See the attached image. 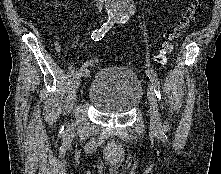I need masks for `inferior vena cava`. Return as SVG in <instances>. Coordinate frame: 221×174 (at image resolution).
<instances>
[{
    "mask_svg": "<svg viewBox=\"0 0 221 174\" xmlns=\"http://www.w3.org/2000/svg\"><path fill=\"white\" fill-rule=\"evenodd\" d=\"M94 1L96 2V6H97L99 12H101L103 9L104 0H94Z\"/></svg>",
    "mask_w": 221,
    "mask_h": 174,
    "instance_id": "602c4592",
    "label": "inferior vena cava"
}]
</instances>
